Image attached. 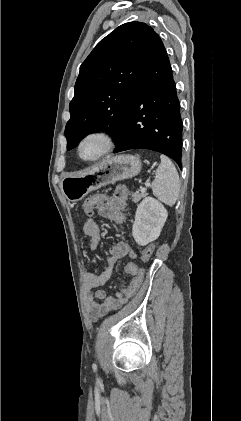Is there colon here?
<instances>
[{
  "instance_id": "1",
  "label": "colon",
  "mask_w": 241,
  "mask_h": 421,
  "mask_svg": "<svg viewBox=\"0 0 241 421\" xmlns=\"http://www.w3.org/2000/svg\"><path fill=\"white\" fill-rule=\"evenodd\" d=\"M105 201V195L103 194H95L90 196L84 203V211L87 215L91 216L93 211L102 205ZM155 246L149 245L147 246L141 253L140 259L142 262H147L151 258L154 252ZM124 273L129 276H134L133 281L128 287H123L121 290V294L125 299H129L132 297L138 288L140 287L141 283L144 279V269L138 267L135 263L129 262L124 266Z\"/></svg>"
}]
</instances>
